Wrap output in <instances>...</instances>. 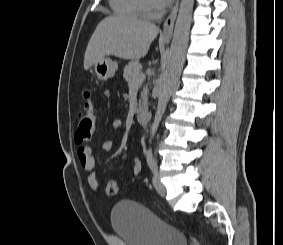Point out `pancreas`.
I'll list each match as a JSON object with an SVG mask.
<instances>
[{
  "instance_id": "1",
  "label": "pancreas",
  "mask_w": 283,
  "mask_h": 245,
  "mask_svg": "<svg viewBox=\"0 0 283 245\" xmlns=\"http://www.w3.org/2000/svg\"><path fill=\"white\" fill-rule=\"evenodd\" d=\"M141 64L139 61H131L124 68V78L128 83V86L131 87L136 83L137 78L142 75L141 73ZM147 95L148 88L147 86L143 88L141 92V99L139 100V110H142L147 105Z\"/></svg>"
}]
</instances>
